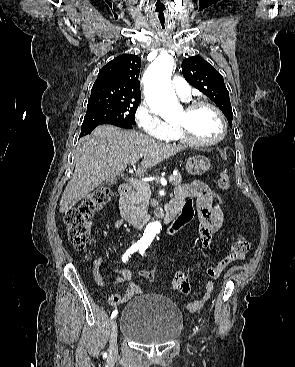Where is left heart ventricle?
<instances>
[{
  "mask_svg": "<svg viewBox=\"0 0 295 367\" xmlns=\"http://www.w3.org/2000/svg\"><path fill=\"white\" fill-rule=\"evenodd\" d=\"M175 123L186 125L194 137L201 141H211L219 137L221 123L216 113L208 108L201 107L192 113L181 111Z\"/></svg>",
  "mask_w": 295,
  "mask_h": 367,
  "instance_id": "left-heart-ventricle-1",
  "label": "left heart ventricle"
}]
</instances>
